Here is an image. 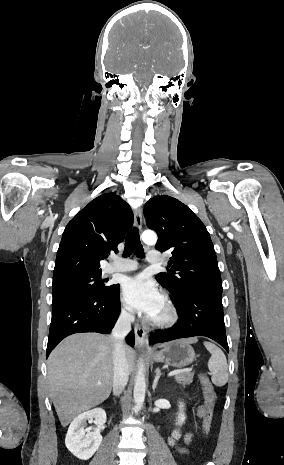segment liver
I'll return each mask as SVG.
<instances>
[{
  "label": "liver",
  "mask_w": 284,
  "mask_h": 465,
  "mask_svg": "<svg viewBox=\"0 0 284 465\" xmlns=\"http://www.w3.org/2000/svg\"><path fill=\"white\" fill-rule=\"evenodd\" d=\"M197 337L184 339L196 343ZM128 369L134 367V351L124 347ZM114 339L84 333L64 339L48 359L50 397L62 427L77 415L108 399L114 377Z\"/></svg>",
  "instance_id": "6515ba94"
}]
</instances>
